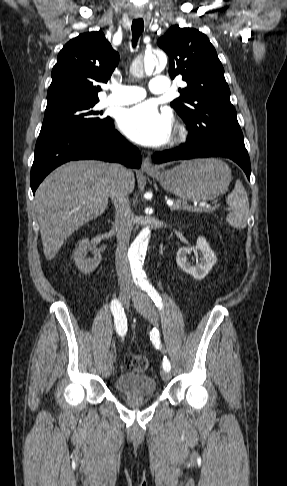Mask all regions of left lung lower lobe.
I'll use <instances>...</instances> for the list:
<instances>
[{"instance_id": "1", "label": "left lung lower lobe", "mask_w": 287, "mask_h": 486, "mask_svg": "<svg viewBox=\"0 0 287 486\" xmlns=\"http://www.w3.org/2000/svg\"><path fill=\"white\" fill-rule=\"evenodd\" d=\"M205 157H225L236 162L246 173L250 180L251 166L247 150L244 146H238L226 142L204 143L198 138H187L181 147L156 152L153 160L156 164L174 160H186Z\"/></svg>"}]
</instances>
